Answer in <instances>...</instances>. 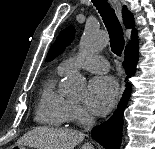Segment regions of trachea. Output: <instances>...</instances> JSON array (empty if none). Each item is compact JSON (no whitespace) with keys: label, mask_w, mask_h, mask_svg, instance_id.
Returning a JSON list of instances; mask_svg holds the SVG:
<instances>
[{"label":"trachea","mask_w":155,"mask_h":149,"mask_svg":"<svg viewBox=\"0 0 155 149\" xmlns=\"http://www.w3.org/2000/svg\"><path fill=\"white\" fill-rule=\"evenodd\" d=\"M92 2L99 11L107 28L112 52L117 56H120L123 51L125 41L122 26L114 9L110 6L107 0H92Z\"/></svg>","instance_id":"trachea-1"}]
</instances>
